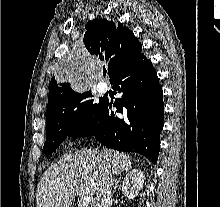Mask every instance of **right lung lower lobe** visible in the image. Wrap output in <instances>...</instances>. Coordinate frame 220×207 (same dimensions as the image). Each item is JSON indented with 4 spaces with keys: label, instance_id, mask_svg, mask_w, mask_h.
Here are the masks:
<instances>
[{
    "label": "right lung lower lobe",
    "instance_id": "98d812e1",
    "mask_svg": "<svg viewBox=\"0 0 220 207\" xmlns=\"http://www.w3.org/2000/svg\"><path fill=\"white\" fill-rule=\"evenodd\" d=\"M122 98L103 99L93 117L72 136H94L107 148L137 152L153 164L163 129V91L157 73L143 53L125 63L110 81ZM117 108L116 115L110 108Z\"/></svg>",
    "mask_w": 220,
    "mask_h": 207
}]
</instances>
